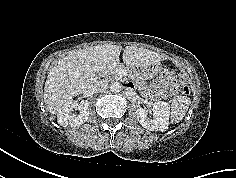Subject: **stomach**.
I'll return each mask as SVG.
<instances>
[{"mask_svg":"<svg viewBox=\"0 0 236 178\" xmlns=\"http://www.w3.org/2000/svg\"><path fill=\"white\" fill-rule=\"evenodd\" d=\"M161 70L160 63H154L147 67L140 68V75L144 80H152L161 73Z\"/></svg>","mask_w":236,"mask_h":178,"instance_id":"stomach-1","label":"stomach"}]
</instances>
